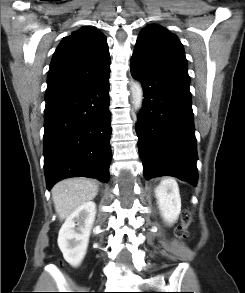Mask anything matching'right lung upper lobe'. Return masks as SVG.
<instances>
[{
	"instance_id": "1",
	"label": "right lung upper lobe",
	"mask_w": 245,
	"mask_h": 293,
	"mask_svg": "<svg viewBox=\"0 0 245 293\" xmlns=\"http://www.w3.org/2000/svg\"><path fill=\"white\" fill-rule=\"evenodd\" d=\"M106 37L101 32L82 27L64 37L50 64L46 103L60 99L110 73Z\"/></svg>"
}]
</instances>
